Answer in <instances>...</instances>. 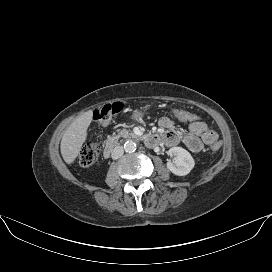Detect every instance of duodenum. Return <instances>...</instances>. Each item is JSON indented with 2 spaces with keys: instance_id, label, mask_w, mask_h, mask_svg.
Instances as JSON below:
<instances>
[{
  "instance_id": "duodenum-1",
  "label": "duodenum",
  "mask_w": 272,
  "mask_h": 272,
  "mask_svg": "<svg viewBox=\"0 0 272 272\" xmlns=\"http://www.w3.org/2000/svg\"><path fill=\"white\" fill-rule=\"evenodd\" d=\"M144 140L148 145L155 147L158 146L160 142V137L157 134H148L144 137ZM117 145H118L117 139L112 138L108 140L103 150V156L105 158H108Z\"/></svg>"
}]
</instances>
